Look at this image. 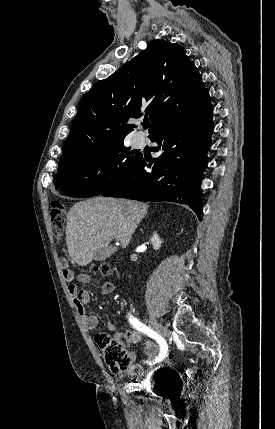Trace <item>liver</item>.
Listing matches in <instances>:
<instances>
[{
  "label": "liver",
  "mask_w": 275,
  "mask_h": 429,
  "mask_svg": "<svg viewBox=\"0 0 275 429\" xmlns=\"http://www.w3.org/2000/svg\"><path fill=\"white\" fill-rule=\"evenodd\" d=\"M148 208L141 202L102 196L74 204L66 225L69 255L78 265L86 266L113 238L126 248Z\"/></svg>",
  "instance_id": "obj_1"
}]
</instances>
